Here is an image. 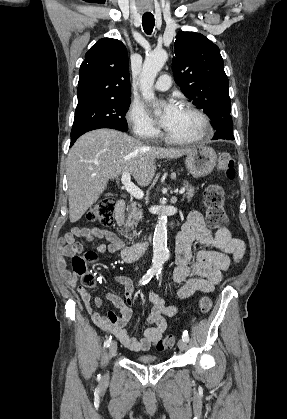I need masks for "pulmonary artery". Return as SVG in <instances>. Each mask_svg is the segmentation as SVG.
Returning <instances> with one entry per match:
<instances>
[{"label": "pulmonary artery", "instance_id": "1", "mask_svg": "<svg viewBox=\"0 0 287 419\" xmlns=\"http://www.w3.org/2000/svg\"><path fill=\"white\" fill-rule=\"evenodd\" d=\"M171 86V77L168 74H162L155 83L154 88L158 91L168 90Z\"/></svg>", "mask_w": 287, "mask_h": 419}]
</instances>
